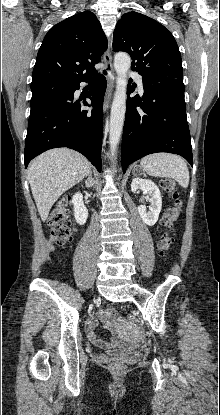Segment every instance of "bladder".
Instances as JSON below:
<instances>
[{"label":"bladder","instance_id":"1","mask_svg":"<svg viewBox=\"0 0 220 415\" xmlns=\"http://www.w3.org/2000/svg\"><path fill=\"white\" fill-rule=\"evenodd\" d=\"M135 351H136V349L135 348H131V347H128V348H117V349H113L112 350L111 355L112 356H115V357H125V356H128V355H131Z\"/></svg>","mask_w":220,"mask_h":415}]
</instances>
